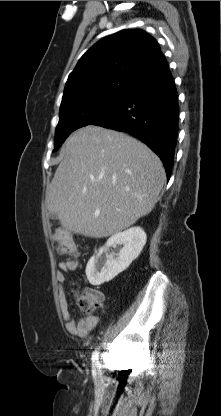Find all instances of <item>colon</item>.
I'll return each instance as SVG.
<instances>
[{
    "instance_id": "1",
    "label": "colon",
    "mask_w": 221,
    "mask_h": 416,
    "mask_svg": "<svg viewBox=\"0 0 221 416\" xmlns=\"http://www.w3.org/2000/svg\"><path fill=\"white\" fill-rule=\"evenodd\" d=\"M54 247L56 251L64 256L77 258L79 256L78 247L66 230H58L54 233ZM77 303L80 310L84 314H90L102 300L99 293L96 291L76 292Z\"/></svg>"
}]
</instances>
